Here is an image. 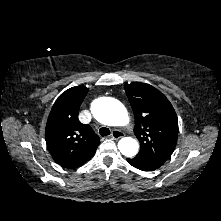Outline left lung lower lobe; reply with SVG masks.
Wrapping results in <instances>:
<instances>
[{
    "label": "left lung lower lobe",
    "mask_w": 221,
    "mask_h": 221,
    "mask_svg": "<svg viewBox=\"0 0 221 221\" xmlns=\"http://www.w3.org/2000/svg\"><path fill=\"white\" fill-rule=\"evenodd\" d=\"M127 161L133 167L143 170V171H153V170H156L160 167V165H158L152 161L145 160L139 156H136L132 159L127 158Z\"/></svg>",
    "instance_id": "obj_1"
}]
</instances>
